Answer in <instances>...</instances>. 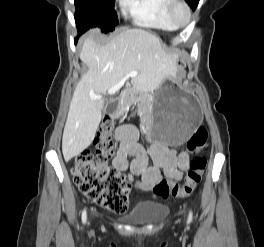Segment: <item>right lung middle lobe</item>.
I'll return each mask as SVG.
<instances>
[{
    "instance_id": "right-lung-middle-lobe-1",
    "label": "right lung middle lobe",
    "mask_w": 264,
    "mask_h": 247,
    "mask_svg": "<svg viewBox=\"0 0 264 247\" xmlns=\"http://www.w3.org/2000/svg\"><path fill=\"white\" fill-rule=\"evenodd\" d=\"M76 6L75 21L78 33L92 27L102 31H112L118 24L114 10V0H74Z\"/></svg>"
}]
</instances>
